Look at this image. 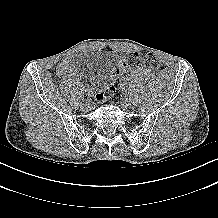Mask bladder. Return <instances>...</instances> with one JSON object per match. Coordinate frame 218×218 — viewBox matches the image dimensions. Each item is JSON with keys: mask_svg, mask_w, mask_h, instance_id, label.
<instances>
[{"mask_svg": "<svg viewBox=\"0 0 218 218\" xmlns=\"http://www.w3.org/2000/svg\"><path fill=\"white\" fill-rule=\"evenodd\" d=\"M82 66L91 81L101 86L104 85L111 76L113 58L107 53L86 55L82 58Z\"/></svg>", "mask_w": 218, "mask_h": 218, "instance_id": "31cf9c89", "label": "bladder"}]
</instances>
